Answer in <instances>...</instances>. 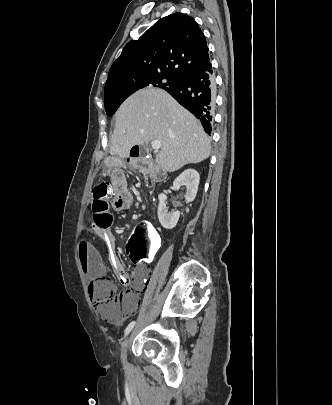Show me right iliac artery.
<instances>
[{"label": "right iliac artery", "mask_w": 332, "mask_h": 405, "mask_svg": "<svg viewBox=\"0 0 332 405\" xmlns=\"http://www.w3.org/2000/svg\"><path fill=\"white\" fill-rule=\"evenodd\" d=\"M136 322L132 321L125 329L124 333L125 336L128 335L130 333V331L133 329V327L135 326Z\"/></svg>", "instance_id": "82829eb1"}]
</instances>
